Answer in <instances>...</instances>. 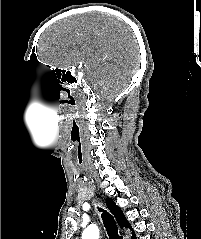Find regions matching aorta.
I'll use <instances>...</instances> for the list:
<instances>
[{
    "instance_id": "762f6f07",
    "label": "aorta",
    "mask_w": 201,
    "mask_h": 239,
    "mask_svg": "<svg viewBox=\"0 0 201 239\" xmlns=\"http://www.w3.org/2000/svg\"><path fill=\"white\" fill-rule=\"evenodd\" d=\"M82 239H99V229L95 225L88 226L83 234Z\"/></svg>"
}]
</instances>
